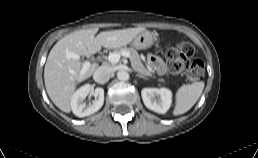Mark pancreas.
<instances>
[{
    "instance_id": "obj_1",
    "label": "pancreas",
    "mask_w": 258,
    "mask_h": 158,
    "mask_svg": "<svg viewBox=\"0 0 258 158\" xmlns=\"http://www.w3.org/2000/svg\"><path fill=\"white\" fill-rule=\"evenodd\" d=\"M122 51H127L130 53L131 65L136 72L143 76H153V74L149 70H147L143 65L136 49L132 47H122L120 49H116L113 53L121 54ZM159 81L164 82V79H159Z\"/></svg>"
}]
</instances>
